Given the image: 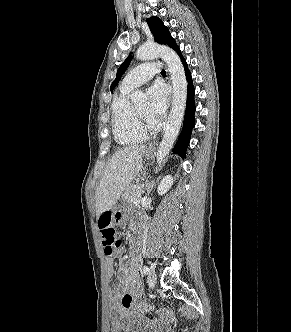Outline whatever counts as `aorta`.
Returning a JSON list of instances; mask_svg holds the SVG:
<instances>
[{
    "instance_id": "1",
    "label": "aorta",
    "mask_w": 291,
    "mask_h": 332,
    "mask_svg": "<svg viewBox=\"0 0 291 332\" xmlns=\"http://www.w3.org/2000/svg\"><path fill=\"white\" fill-rule=\"evenodd\" d=\"M138 60L162 58L168 66L173 85L172 108L168 117L166 129L157 153V164L161 165L173 146L180 131L187 100V81L182 62L175 51L159 44H144L136 51ZM146 95L142 91H135L131 100L135 103L144 101Z\"/></svg>"
}]
</instances>
